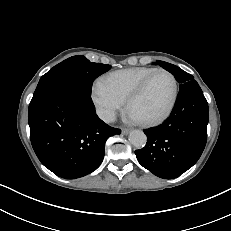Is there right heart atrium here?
Here are the masks:
<instances>
[{
	"mask_svg": "<svg viewBox=\"0 0 231 231\" xmlns=\"http://www.w3.org/2000/svg\"><path fill=\"white\" fill-rule=\"evenodd\" d=\"M91 96L97 113L106 122L113 121L123 106V102L103 87L100 82L93 87Z\"/></svg>",
	"mask_w": 231,
	"mask_h": 231,
	"instance_id": "1",
	"label": "right heart atrium"
}]
</instances>
